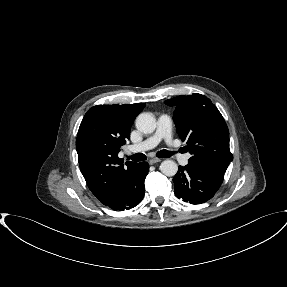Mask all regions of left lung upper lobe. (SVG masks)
Listing matches in <instances>:
<instances>
[{"mask_svg":"<svg viewBox=\"0 0 287 287\" xmlns=\"http://www.w3.org/2000/svg\"><path fill=\"white\" fill-rule=\"evenodd\" d=\"M165 103L175 107L177 132L192 155L189 164L224 174L233 156L229 130L217 107L201 94L177 96Z\"/></svg>","mask_w":287,"mask_h":287,"instance_id":"1","label":"left lung upper lobe"}]
</instances>
